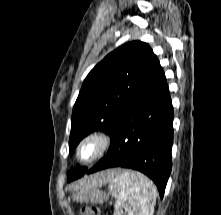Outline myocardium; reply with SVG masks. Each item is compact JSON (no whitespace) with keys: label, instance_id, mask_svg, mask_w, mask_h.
Instances as JSON below:
<instances>
[{"label":"myocardium","instance_id":"obj_1","mask_svg":"<svg viewBox=\"0 0 221 215\" xmlns=\"http://www.w3.org/2000/svg\"><path fill=\"white\" fill-rule=\"evenodd\" d=\"M111 146V137L105 132H93L77 146L76 157L82 164H90L102 157Z\"/></svg>","mask_w":221,"mask_h":215}]
</instances>
